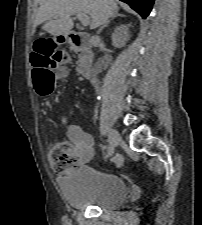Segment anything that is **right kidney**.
I'll use <instances>...</instances> for the list:
<instances>
[{"mask_svg":"<svg viewBox=\"0 0 202 225\" xmlns=\"http://www.w3.org/2000/svg\"><path fill=\"white\" fill-rule=\"evenodd\" d=\"M129 26L130 24L120 25L115 28L114 32L112 33V42L115 47L121 48L129 40Z\"/></svg>","mask_w":202,"mask_h":225,"instance_id":"ca27d5eb","label":"right kidney"}]
</instances>
